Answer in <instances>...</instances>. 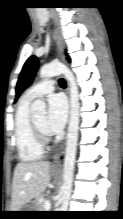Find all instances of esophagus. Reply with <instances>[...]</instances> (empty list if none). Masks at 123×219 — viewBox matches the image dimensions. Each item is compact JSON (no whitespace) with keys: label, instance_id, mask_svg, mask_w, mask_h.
<instances>
[{"label":"esophagus","instance_id":"obj_1","mask_svg":"<svg viewBox=\"0 0 123 219\" xmlns=\"http://www.w3.org/2000/svg\"><path fill=\"white\" fill-rule=\"evenodd\" d=\"M54 38L58 47L59 54L61 56V59L64 61V55H63V42L62 38L60 35V32L58 29L55 30L54 32ZM67 93L69 94V88H67ZM65 150V142H62L57 149L56 153L53 156V166L54 167H60V161L63 156Z\"/></svg>","mask_w":123,"mask_h":219}]
</instances>
